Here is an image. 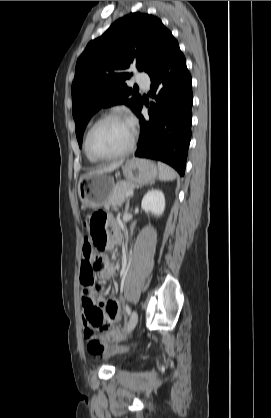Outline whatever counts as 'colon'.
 <instances>
[{
  "mask_svg": "<svg viewBox=\"0 0 271 418\" xmlns=\"http://www.w3.org/2000/svg\"><path fill=\"white\" fill-rule=\"evenodd\" d=\"M107 217L104 213H95L91 216L88 226L90 231L89 245H93L95 249L102 250L107 244L106 232ZM89 270V268H88ZM87 318L90 322V327L86 331L89 340V345L93 349H100L101 343L99 333L105 331L108 326L103 321L99 310L93 308L87 311Z\"/></svg>",
  "mask_w": 271,
  "mask_h": 418,
  "instance_id": "5ec220e1",
  "label": "colon"
}]
</instances>
